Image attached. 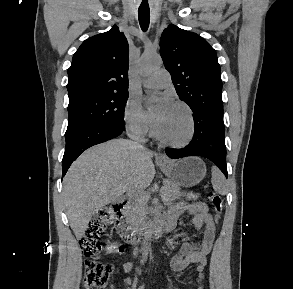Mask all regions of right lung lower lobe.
I'll use <instances>...</instances> for the list:
<instances>
[{
	"instance_id": "right-lung-lower-lobe-1",
	"label": "right lung lower lobe",
	"mask_w": 293,
	"mask_h": 289,
	"mask_svg": "<svg viewBox=\"0 0 293 289\" xmlns=\"http://www.w3.org/2000/svg\"><path fill=\"white\" fill-rule=\"evenodd\" d=\"M125 130L124 120L90 126L66 138L65 153L62 159V178L72 162L87 148L116 138Z\"/></svg>"
}]
</instances>
